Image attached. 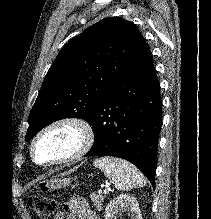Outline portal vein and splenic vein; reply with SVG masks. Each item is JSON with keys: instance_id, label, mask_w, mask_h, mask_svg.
Returning a JSON list of instances; mask_svg holds the SVG:
<instances>
[{"instance_id": "obj_1", "label": "portal vein and splenic vein", "mask_w": 211, "mask_h": 219, "mask_svg": "<svg viewBox=\"0 0 211 219\" xmlns=\"http://www.w3.org/2000/svg\"><path fill=\"white\" fill-rule=\"evenodd\" d=\"M99 192H102V190H99ZM103 193H104V194H108V193H109V189L105 188V189L103 190Z\"/></svg>"}]
</instances>
